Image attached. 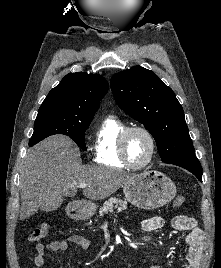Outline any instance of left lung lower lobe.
I'll list each match as a JSON object with an SVG mask.
<instances>
[{"label":"left lung lower lobe","instance_id":"left-lung-lower-lobe-1","mask_svg":"<svg viewBox=\"0 0 221 268\" xmlns=\"http://www.w3.org/2000/svg\"><path fill=\"white\" fill-rule=\"evenodd\" d=\"M171 164L183 167L192 172L200 181H202V169L199 160L196 157L184 158Z\"/></svg>","mask_w":221,"mask_h":268}]
</instances>
